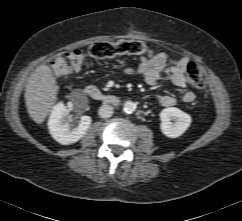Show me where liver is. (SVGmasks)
<instances>
[{
  "label": "liver",
  "mask_w": 242,
  "mask_h": 221,
  "mask_svg": "<svg viewBox=\"0 0 242 221\" xmlns=\"http://www.w3.org/2000/svg\"><path fill=\"white\" fill-rule=\"evenodd\" d=\"M59 87L48 65L38 66L30 75L25 89V103L30 117L42 124L57 100Z\"/></svg>",
  "instance_id": "liver-1"
}]
</instances>
